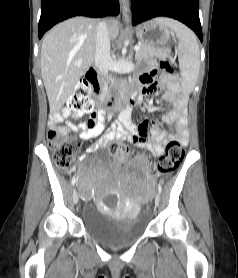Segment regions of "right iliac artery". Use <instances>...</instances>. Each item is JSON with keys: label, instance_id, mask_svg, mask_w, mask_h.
<instances>
[{"label": "right iliac artery", "instance_id": "82829eb1", "mask_svg": "<svg viewBox=\"0 0 238 278\" xmlns=\"http://www.w3.org/2000/svg\"><path fill=\"white\" fill-rule=\"evenodd\" d=\"M75 182H76V177L74 176V177L72 178V181H71L72 185H74Z\"/></svg>", "mask_w": 238, "mask_h": 278}]
</instances>
